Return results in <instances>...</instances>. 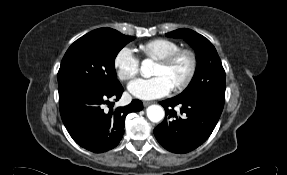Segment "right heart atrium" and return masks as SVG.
Segmentation results:
<instances>
[{
	"instance_id": "d8ad5b80",
	"label": "right heart atrium",
	"mask_w": 287,
	"mask_h": 175,
	"mask_svg": "<svg viewBox=\"0 0 287 175\" xmlns=\"http://www.w3.org/2000/svg\"><path fill=\"white\" fill-rule=\"evenodd\" d=\"M113 64L118 77L123 81L134 79L140 70L139 58L128 46L122 47L116 53Z\"/></svg>"
}]
</instances>
